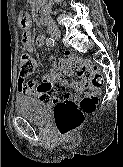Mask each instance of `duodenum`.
<instances>
[{"instance_id":"duodenum-1","label":"duodenum","mask_w":123,"mask_h":167,"mask_svg":"<svg viewBox=\"0 0 123 167\" xmlns=\"http://www.w3.org/2000/svg\"><path fill=\"white\" fill-rule=\"evenodd\" d=\"M37 16L40 24L44 25L46 23V11L42 8L40 0H37Z\"/></svg>"}]
</instances>
